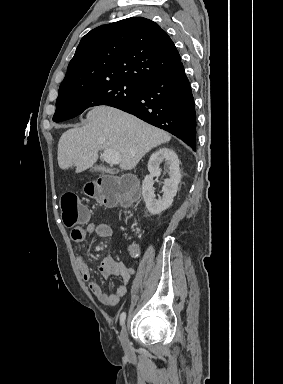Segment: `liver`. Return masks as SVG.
<instances>
[{
    "instance_id": "1",
    "label": "liver",
    "mask_w": 283,
    "mask_h": 384,
    "mask_svg": "<svg viewBox=\"0 0 283 384\" xmlns=\"http://www.w3.org/2000/svg\"><path fill=\"white\" fill-rule=\"evenodd\" d=\"M86 118L87 126L67 130L58 142L62 170L75 166L76 172H84L92 168L99 150H117L121 170H133L152 148L171 140L167 132L109 106H96Z\"/></svg>"
}]
</instances>
